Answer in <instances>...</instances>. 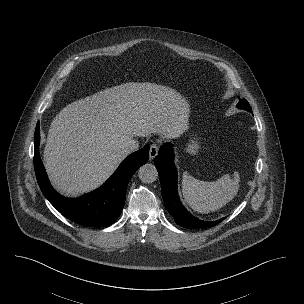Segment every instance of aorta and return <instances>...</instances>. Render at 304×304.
I'll return each instance as SVG.
<instances>
[{"label": "aorta", "instance_id": "obj_1", "mask_svg": "<svg viewBox=\"0 0 304 304\" xmlns=\"http://www.w3.org/2000/svg\"><path fill=\"white\" fill-rule=\"evenodd\" d=\"M139 179L143 183H152L158 178V172L153 164H144L138 170Z\"/></svg>", "mask_w": 304, "mask_h": 304}]
</instances>
